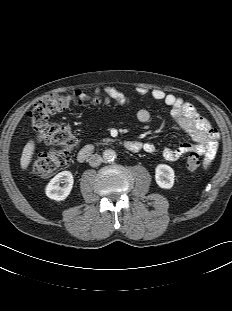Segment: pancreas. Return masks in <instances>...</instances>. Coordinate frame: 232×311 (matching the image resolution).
I'll use <instances>...</instances> for the list:
<instances>
[{
    "mask_svg": "<svg viewBox=\"0 0 232 311\" xmlns=\"http://www.w3.org/2000/svg\"><path fill=\"white\" fill-rule=\"evenodd\" d=\"M103 141V144H107V143H110V142H114L113 139H110V138H105L102 140ZM96 144H100V143H96Z\"/></svg>",
    "mask_w": 232,
    "mask_h": 311,
    "instance_id": "cf45deb5",
    "label": "pancreas"
}]
</instances>
